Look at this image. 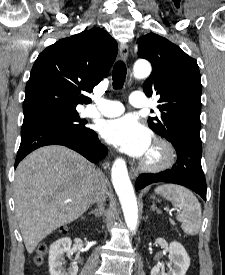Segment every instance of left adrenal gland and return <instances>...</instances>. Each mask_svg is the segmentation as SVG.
<instances>
[{"label":"left adrenal gland","mask_w":225,"mask_h":275,"mask_svg":"<svg viewBox=\"0 0 225 275\" xmlns=\"http://www.w3.org/2000/svg\"><path fill=\"white\" fill-rule=\"evenodd\" d=\"M151 210L157 211V213H160L159 209L155 207L154 202H152Z\"/></svg>","instance_id":"obj_1"}]
</instances>
